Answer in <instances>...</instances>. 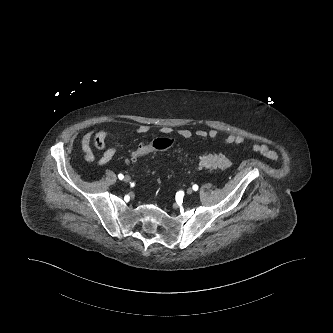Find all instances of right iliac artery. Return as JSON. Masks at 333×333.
<instances>
[{
	"label": "right iliac artery",
	"instance_id": "obj_1",
	"mask_svg": "<svg viewBox=\"0 0 333 333\" xmlns=\"http://www.w3.org/2000/svg\"><path fill=\"white\" fill-rule=\"evenodd\" d=\"M118 178H119L120 180H122V179L124 178L123 174H119V175H118Z\"/></svg>",
	"mask_w": 333,
	"mask_h": 333
}]
</instances>
